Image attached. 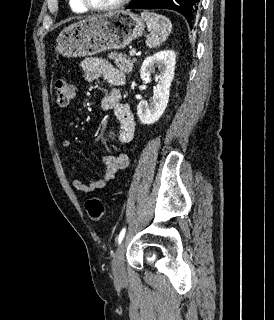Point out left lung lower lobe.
Masks as SVG:
<instances>
[{
  "mask_svg": "<svg viewBox=\"0 0 274 320\" xmlns=\"http://www.w3.org/2000/svg\"><path fill=\"white\" fill-rule=\"evenodd\" d=\"M200 0H133L126 9H170L181 13L189 23H194Z\"/></svg>",
  "mask_w": 274,
  "mask_h": 320,
  "instance_id": "0a47b994",
  "label": "left lung lower lobe"
}]
</instances>
